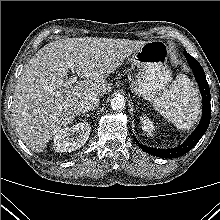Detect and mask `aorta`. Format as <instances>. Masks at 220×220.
I'll use <instances>...</instances> for the list:
<instances>
[{
	"label": "aorta",
	"mask_w": 220,
	"mask_h": 220,
	"mask_svg": "<svg viewBox=\"0 0 220 220\" xmlns=\"http://www.w3.org/2000/svg\"><path fill=\"white\" fill-rule=\"evenodd\" d=\"M110 106L113 110H123L125 108V99L122 96L114 97L110 100Z\"/></svg>",
	"instance_id": "obj_1"
}]
</instances>
